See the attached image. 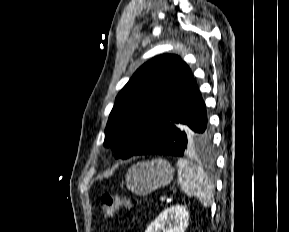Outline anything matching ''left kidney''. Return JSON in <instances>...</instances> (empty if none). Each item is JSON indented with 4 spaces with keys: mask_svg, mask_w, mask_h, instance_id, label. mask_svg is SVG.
Segmentation results:
<instances>
[{
    "mask_svg": "<svg viewBox=\"0 0 289 232\" xmlns=\"http://www.w3.org/2000/svg\"><path fill=\"white\" fill-rule=\"evenodd\" d=\"M189 224V212L185 206H172L161 212L145 232H184Z\"/></svg>",
    "mask_w": 289,
    "mask_h": 232,
    "instance_id": "5707ae66",
    "label": "left kidney"
}]
</instances>
